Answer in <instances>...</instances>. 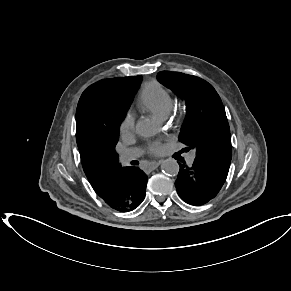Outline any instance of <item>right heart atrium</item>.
I'll use <instances>...</instances> for the list:
<instances>
[{"mask_svg":"<svg viewBox=\"0 0 291 291\" xmlns=\"http://www.w3.org/2000/svg\"><path fill=\"white\" fill-rule=\"evenodd\" d=\"M135 118L131 113H127L120 123V134L123 137L131 135L134 131Z\"/></svg>","mask_w":291,"mask_h":291,"instance_id":"right-heart-atrium-1","label":"right heart atrium"}]
</instances>
